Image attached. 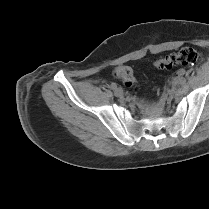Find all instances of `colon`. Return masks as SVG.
I'll list each match as a JSON object with an SVG mask.
<instances>
[{
  "instance_id": "1",
  "label": "colon",
  "mask_w": 209,
  "mask_h": 209,
  "mask_svg": "<svg viewBox=\"0 0 209 209\" xmlns=\"http://www.w3.org/2000/svg\"><path fill=\"white\" fill-rule=\"evenodd\" d=\"M199 58L200 54L195 49L186 47L156 60L154 66L159 70H168L177 65H193L199 60ZM114 76L122 81L127 87H135L137 85V79L134 72L128 66H120L116 68Z\"/></svg>"
}]
</instances>
